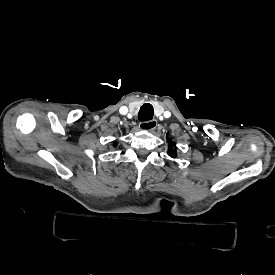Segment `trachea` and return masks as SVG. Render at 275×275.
Returning a JSON list of instances; mask_svg holds the SVG:
<instances>
[{
  "label": "trachea",
  "mask_w": 275,
  "mask_h": 275,
  "mask_svg": "<svg viewBox=\"0 0 275 275\" xmlns=\"http://www.w3.org/2000/svg\"><path fill=\"white\" fill-rule=\"evenodd\" d=\"M153 115H154L153 106L149 103H146L143 106H141L138 114V119L140 121H149L153 118Z\"/></svg>",
  "instance_id": "1"
}]
</instances>
